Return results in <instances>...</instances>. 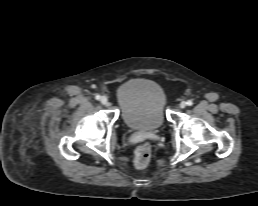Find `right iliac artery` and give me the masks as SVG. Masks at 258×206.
<instances>
[{
    "label": "right iliac artery",
    "instance_id": "82829eb1",
    "mask_svg": "<svg viewBox=\"0 0 258 206\" xmlns=\"http://www.w3.org/2000/svg\"><path fill=\"white\" fill-rule=\"evenodd\" d=\"M95 99H96V100H99V99H100V95L97 94V95L95 96Z\"/></svg>",
    "mask_w": 258,
    "mask_h": 206
}]
</instances>
